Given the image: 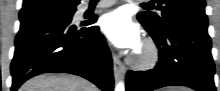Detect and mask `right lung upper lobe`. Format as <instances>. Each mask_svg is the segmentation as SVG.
Returning <instances> with one entry per match:
<instances>
[{
  "label": "right lung upper lobe",
  "instance_id": "obj_1",
  "mask_svg": "<svg viewBox=\"0 0 220 91\" xmlns=\"http://www.w3.org/2000/svg\"><path fill=\"white\" fill-rule=\"evenodd\" d=\"M80 0H24L19 18L50 14L61 10L76 8Z\"/></svg>",
  "mask_w": 220,
  "mask_h": 91
}]
</instances>
